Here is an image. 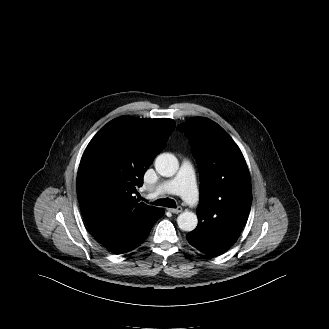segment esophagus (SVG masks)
Listing matches in <instances>:
<instances>
[{"label":"esophagus","instance_id":"esophagus-1","mask_svg":"<svg viewBox=\"0 0 329 329\" xmlns=\"http://www.w3.org/2000/svg\"><path fill=\"white\" fill-rule=\"evenodd\" d=\"M182 207L178 206L177 208H168V211H170L173 214H178L180 212H182Z\"/></svg>","mask_w":329,"mask_h":329}]
</instances>
